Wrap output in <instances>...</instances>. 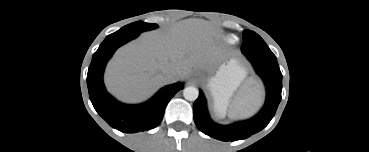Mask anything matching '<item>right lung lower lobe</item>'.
I'll return each mask as SVG.
<instances>
[{
    "instance_id": "1",
    "label": "right lung lower lobe",
    "mask_w": 369,
    "mask_h": 152,
    "mask_svg": "<svg viewBox=\"0 0 369 152\" xmlns=\"http://www.w3.org/2000/svg\"><path fill=\"white\" fill-rule=\"evenodd\" d=\"M139 34L115 32L105 38L94 53L88 69L87 85L90 100L98 114L113 128L135 133L157 127L163 119L170 99L183 88L181 83L159 90L148 102L125 105L110 96L103 84V72L115 50Z\"/></svg>"
}]
</instances>
